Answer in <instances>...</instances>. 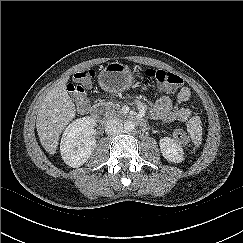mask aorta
<instances>
[{"label": "aorta", "instance_id": "obj_1", "mask_svg": "<svg viewBox=\"0 0 243 243\" xmlns=\"http://www.w3.org/2000/svg\"><path fill=\"white\" fill-rule=\"evenodd\" d=\"M135 128V123L131 120H127L126 122H124V129L127 132H131L133 131Z\"/></svg>", "mask_w": 243, "mask_h": 243}]
</instances>
